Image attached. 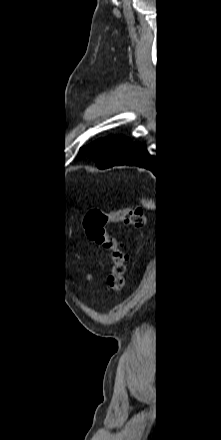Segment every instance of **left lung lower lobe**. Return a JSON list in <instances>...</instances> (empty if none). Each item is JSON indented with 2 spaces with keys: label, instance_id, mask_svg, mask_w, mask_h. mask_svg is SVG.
Instances as JSON below:
<instances>
[{
  "label": "left lung lower lobe",
  "instance_id": "1",
  "mask_svg": "<svg viewBox=\"0 0 221 440\" xmlns=\"http://www.w3.org/2000/svg\"><path fill=\"white\" fill-rule=\"evenodd\" d=\"M115 165L143 167L151 170L155 174L159 170V165L156 164L154 156H151L147 151L146 146L139 142H131L124 156L112 166Z\"/></svg>",
  "mask_w": 221,
  "mask_h": 440
}]
</instances>
